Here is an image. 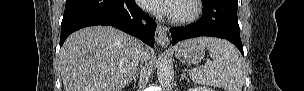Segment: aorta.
Returning a JSON list of instances; mask_svg holds the SVG:
<instances>
[{
  "instance_id": "762f6f07",
  "label": "aorta",
  "mask_w": 304,
  "mask_h": 91,
  "mask_svg": "<svg viewBox=\"0 0 304 91\" xmlns=\"http://www.w3.org/2000/svg\"><path fill=\"white\" fill-rule=\"evenodd\" d=\"M157 77L159 84L162 87H167L172 78V69L170 59L167 56H163L158 64Z\"/></svg>"
}]
</instances>
